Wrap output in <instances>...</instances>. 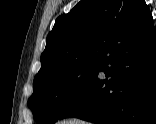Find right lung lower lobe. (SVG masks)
I'll use <instances>...</instances> for the list:
<instances>
[{
    "instance_id": "obj_1",
    "label": "right lung lower lobe",
    "mask_w": 156,
    "mask_h": 124,
    "mask_svg": "<svg viewBox=\"0 0 156 124\" xmlns=\"http://www.w3.org/2000/svg\"><path fill=\"white\" fill-rule=\"evenodd\" d=\"M155 37L154 26H150L128 33L119 44L109 47L86 90L60 119L156 124Z\"/></svg>"
}]
</instances>
